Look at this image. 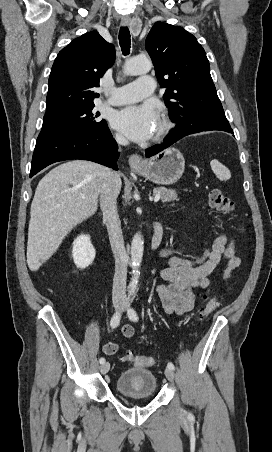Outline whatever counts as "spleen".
Here are the masks:
<instances>
[{"label": "spleen", "mask_w": 272, "mask_h": 452, "mask_svg": "<svg viewBox=\"0 0 272 452\" xmlns=\"http://www.w3.org/2000/svg\"><path fill=\"white\" fill-rule=\"evenodd\" d=\"M210 165L217 178L221 181H226L231 178L230 170L222 165L218 160H212Z\"/></svg>", "instance_id": "spleen-1"}]
</instances>
